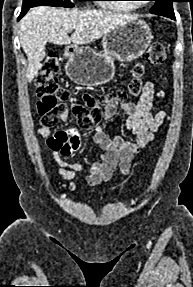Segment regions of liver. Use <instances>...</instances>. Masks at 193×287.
<instances>
[{"instance_id":"liver-1","label":"liver","mask_w":193,"mask_h":287,"mask_svg":"<svg viewBox=\"0 0 193 287\" xmlns=\"http://www.w3.org/2000/svg\"><path fill=\"white\" fill-rule=\"evenodd\" d=\"M129 19L136 17L94 9L81 11L46 6L30 9L19 24L21 47L28 58V82L42 67L47 42L56 45L92 43ZM71 30L74 33L69 37Z\"/></svg>"}]
</instances>
